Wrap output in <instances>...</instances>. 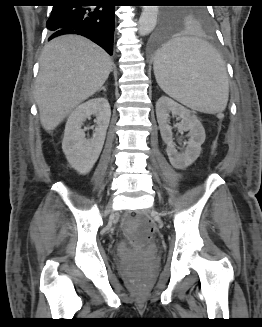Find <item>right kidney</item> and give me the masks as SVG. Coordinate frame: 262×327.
<instances>
[{"label":"right kidney","instance_id":"ca27d5eb","mask_svg":"<svg viewBox=\"0 0 262 327\" xmlns=\"http://www.w3.org/2000/svg\"><path fill=\"white\" fill-rule=\"evenodd\" d=\"M91 115L96 116V127L93 137L88 139L85 129L81 127ZM110 116V105L107 99L102 97L82 103L69 115L62 149L70 165L80 174H87L97 161L104 145Z\"/></svg>","mask_w":262,"mask_h":327}]
</instances>
